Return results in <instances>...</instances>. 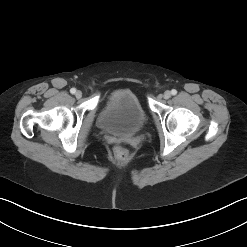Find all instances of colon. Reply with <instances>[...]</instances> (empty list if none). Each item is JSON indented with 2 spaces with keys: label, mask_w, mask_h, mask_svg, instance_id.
I'll use <instances>...</instances> for the list:
<instances>
[{
  "label": "colon",
  "mask_w": 247,
  "mask_h": 247,
  "mask_svg": "<svg viewBox=\"0 0 247 247\" xmlns=\"http://www.w3.org/2000/svg\"><path fill=\"white\" fill-rule=\"evenodd\" d=\"M114 154L119 162H126L129 157L127 150L120 146L114 149Z\"/></svg>",
  "instance_id": "colon-1"
}]
</instances>
